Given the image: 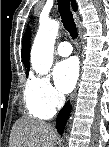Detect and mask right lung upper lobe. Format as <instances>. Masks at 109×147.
<instances>
[{"instance_id": "right-lung-upper-lobe-1", "label": "right lung upper lobe", "mask_w": 109, "mask_h": 147, "mask_svg": "<svg viewBox=\"0 0 109 147\" xmlns=\"http://www.w3.org/2000/svg\"><path fill=\"white\" fill-rule=\"evenodd\" d=\"M73 10L76 11L77 4L75 0H71ZM29 39H30V29H28L27 33L25 34V38L23 41V47H22V60L27 67V71H29V54H30V44H29Z\"/></svg>"}]
</instances>
